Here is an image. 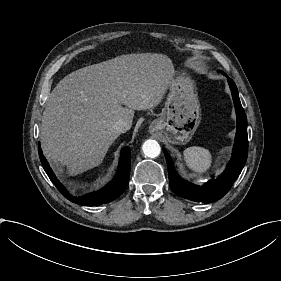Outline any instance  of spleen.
Masks as SVG:
<instances>
[{
  "label": "spleen",
  "mask_w": 281,
  "mask_h": 281,
  "mask_svg": "<svg viewBox=\"0 0 281 281\" xmlns=\"http://www.w3.org/2000/svg\"><path fill=\"white\" fill-rule=\"evenodd\" d=\"M184 158L187 166L198 173L206 172L212 162L209 150L202 147H189L184 150Z\"/></svg>",
  "instance_id": "obj_1"
}]
</instances>
